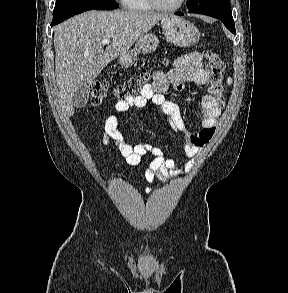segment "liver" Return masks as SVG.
<instances>
[{
    "label": "liver",
    "instance_id": "6515ba94",
    "mask_svg": "<svg viewBox=\"0 0 288 293\" xmlns=\"http://www.w3.org/2000/svg\"><path fill=\"white\" fill-rule=\"evenodd\" d=\"M166 14L139 11H96L76 15L55 27V74L65 113L73 115V96L115 58L151 30ZM112 39L103 48L102 40Z\"/></svg>",
    "mask_w": 288,
    "mask_h": 293
}]
</instances>
